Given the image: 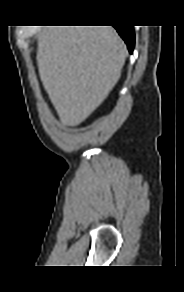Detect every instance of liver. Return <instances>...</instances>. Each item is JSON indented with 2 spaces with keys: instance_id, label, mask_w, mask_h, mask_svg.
Masks as SVG:
<instances>
[{
  "instance_id": "obj_1",
  "label": "liver",
  "mask_w": 184,
  "mask_h": 292,
  "mask_svg": "<svg viewBox=\"0 0 184 292\" xmlns=\"http://www.w3.org/2000/svg\"><path fill=\"white\" fill-rule=\"evenodd\" d=\"M126 47L111 26H48L38 35L37 65L63 124L77 126L118 82Z\"/></svg>"
}]
</instances>
